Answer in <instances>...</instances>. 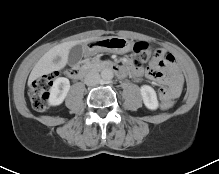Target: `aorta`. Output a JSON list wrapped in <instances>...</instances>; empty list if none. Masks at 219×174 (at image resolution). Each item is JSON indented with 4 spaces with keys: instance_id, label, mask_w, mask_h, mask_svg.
<instances>
[{
    "instance_id": "obj_1",
    "label": "aorta",
    "mask_w": 219,
    "mask_h": 174,
    "mask_svg": "<svg viewBox=\"0 0 219 174\" xmlns=\"http://www.w3.org/2000/svg\"><path fill=\"white\" fill-rule=\"evenodd\" d=\"M114 74L113 71L111 69H103L101 71V78L105 81H109L113 78Z\"/></svg>"
}]
</instances>
